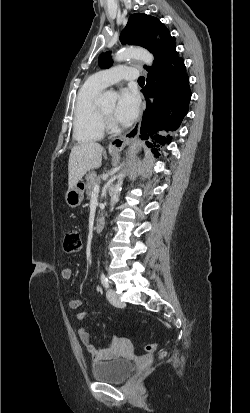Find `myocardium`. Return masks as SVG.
<instances>
[{"label":"myocardium","instance_id":"myocardium-1","mask_svg":"<svg viewBox=\"0 0 250 413\" xmlns=\"http://www.w3.org/2000/svg\"><path fill=\"white\" fill-rule=\"evenodd\" d=\"M100 111L106 122L111 119V114L106 113L103 109H100Z\"/></svg>","mask_w":250,"mask_h":413}]
</instances>
